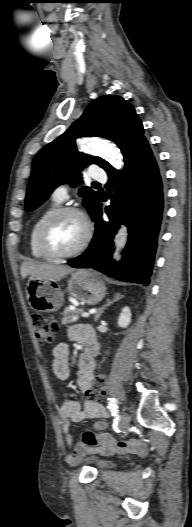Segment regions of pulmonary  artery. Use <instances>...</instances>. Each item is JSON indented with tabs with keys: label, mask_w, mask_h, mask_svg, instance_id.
I'll return each mask as SVG.
<instances>
[{
	"label": "pulmonary artery",
	"mask_w": 192,
	"mask_h": 527,
	"mask_svg": "<svg viewBox=\"0 0 192 527\" xmlns=\"http://www.w3.org/2000/svg\"><path fill=\"white\" fill-rule=\"evenodd\" d=\"M90 177L93 180L97 181H105L107 176L106 173L98 168V167H92L89 172ZM68 186L67 185H60L56 187L52 193L53 200L57 202H63L66 199H68Z\"/></svg>",
	"instance_id": "1"
}]
</instances>
